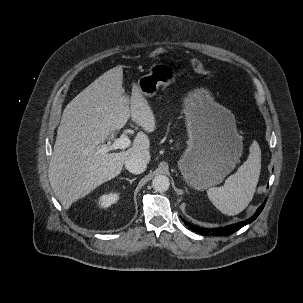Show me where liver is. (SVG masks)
<instances>
[{
    "mask_svg": "<svg viewBox=\"0 0 303 303\" xmlns=\"http://www.w3.org/2000/svg\"><path fill=\"white\" fill-rule=\"evenodd\" d=\"M123 69L116 66L92 82L65 107L49 165L51 187L64 209L101 184L117 177L137 156L150 161V141L138 132L126 151L98 153L99 146L132 118L148 133L156 129L153 111L133 83L130 98L122 87Z\"/></svg>",
    "mask_w": 303,
    "mask_h": 303,
    "instance_id": "1",
    "label": "liver"
}]
</instances>
